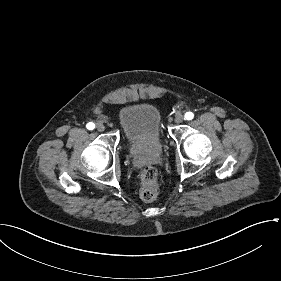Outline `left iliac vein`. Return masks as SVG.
Segmentation results:
<instances>
[{
  "instance_id": "obj_1",
  "label": "left iliac vein",
  "mask_w": 281,
  "mask_h": 281,
  "mask_svg": "<svg viewBox=\"0 0 281 281\" xmlns=\"http://www.w3.org/2000/svg\"><path fill=\"white\" fill-rule=\"evenodd\" d=\"M185 118H184V115H182V114H177L176 116H175V123H177V124H179V123H182L183 122V120H184Z\"/></svg>"
}]
</instances>
